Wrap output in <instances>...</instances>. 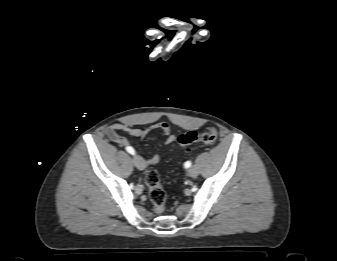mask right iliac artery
<instances>
[{
	"mask_svg": "<svg viewBox=\"0 0 337 261\" xmlns=\"http://www.w3.org/2000/svg\"><path fill=\"white\" fill-rule=\"evenodd\" d=\"M126 151H127L128 153L132 154V155L135 154V150H134L132 147H127V148H126Z\"/></svg>",
	"mask_w": 337,
	"mask_h": 261,
	"instance_id": "right-iliac-artery-1",
	"label": "right iliac artery"
}]
</instances>
